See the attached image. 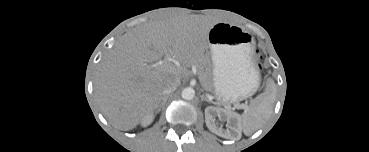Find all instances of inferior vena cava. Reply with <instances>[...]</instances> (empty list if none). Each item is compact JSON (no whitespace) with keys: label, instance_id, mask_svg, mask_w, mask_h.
Segmentation results:
<instances>
[{"label":"inferior vena cava","instance_id":"602c4592","mask_svg":"<svg viewBox=\"0 0 369 152\" xmlns=\"http://www.w3.org/2000/svg\"><path fill=\"white\" fill-rule=\"evenodd\" d=\"M179 85H180V81H172V80L166 81L163 87V90H162V95L165 96L175 91Z\"/></svg>","mask_w":369,"mask_h":152}]
</instances>
